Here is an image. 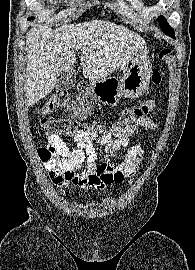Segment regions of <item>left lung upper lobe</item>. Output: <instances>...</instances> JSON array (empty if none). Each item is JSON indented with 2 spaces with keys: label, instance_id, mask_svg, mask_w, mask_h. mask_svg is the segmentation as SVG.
<instances>
[{
  "label": "left lung upper lobe",
  "instance_id": "1",
  "mask_svg": "<svg viewBox=\"0 0 195 270\" xmlns=\"http://www.w3.org/2000/svg\"><path fill=\"white\" fill-rule=\"evenodd\" d=\"M159 24L162 28V31L165 32L166 35H174V29L169 26L166 19L163 16L158 18Z\"/></svg>",
  "mask_w": 195,
  "mask_h": 270
}]
</instances>
